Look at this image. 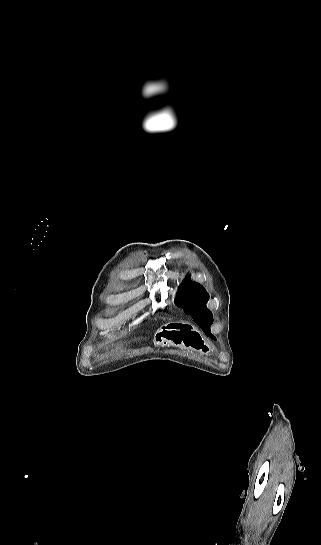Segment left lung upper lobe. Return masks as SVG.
Wrapping results in <instances>:
<instances>
[{"label":"left lung upper lobe","mask_w":321,"mask_h":545,"mask_svg":"<svg viewBox=\"0 0 321 545\" xmlns=\"http://www.w3.org/2000/svg\"><path fill=\"white\" fill-rule=\"evenodd\" d=\"M208 299L209 295L203 286L189 281L180 286L175 303L177 306L183 307L187 314L192 315L194 321L206 334H211L210 326L213 318L211 311L206 307Z\"/></svg>","instance_id":"obj_1"}]
</instances>
